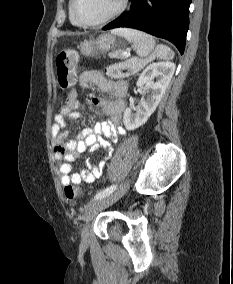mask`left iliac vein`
Masks as SVG:
<instances>
[{
    "label": "left iliac vein",
    "instance_id": "1",
    "mask_svg": "<svg viewBox=\"0 0 233 284\" xmlns=\"http://www.w3.org/2000/svg\"><path fill=\"white\" fill-rule=\"evenodd\" d=\"M128 184H125L121 189L115 193L105 196L100 199L90 201L85 207L84 220L85 225L81 232V239L83 244H87L89 240V223L90 221L104 208L116 202L125 193Z\"/></svg>",
    "mask_w": 233,
    "mask_h": 284
}]
</instances>
